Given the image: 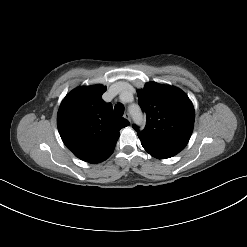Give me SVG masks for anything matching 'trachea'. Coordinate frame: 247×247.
<instances>
[{
    "mask_svg": "<svg viewBox=\"0 0 247 247\" xmlns=\"http://www.w3.org/2000/svg\"><path fill=\"white\" fill-rule=\"evenodd\" d=\"M114 112L117 116L121 117L124 114V106L122 104H116Z\"/></svg>",
    "mask_w": 247,
    "mask_h": 247,
    "instance_id": "trachea-1",
    "label": "trachea"
}]
</instances>
